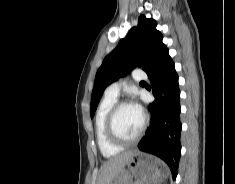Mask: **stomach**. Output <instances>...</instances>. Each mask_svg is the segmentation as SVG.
Wrapping results in <instances>:
<instances>
[{
	"label": "stomach",
	"instance_id": "stomach-1",
	"mask_svg": "<svg viewBox=\"0 0 235 184\" xmlns=\"http://www.w3.org/2000/svg\"><path fill=\"white\" fill-rule=\"evenodd\" d=\"M167 176L165 164L155 162L152 156H145L142 152H133L129 162L110 184H161ZM133 178L137 182H133Z\"/></svg>",
	"mask_w": 235,
	"mask_h": 184
}]
</instances>
